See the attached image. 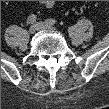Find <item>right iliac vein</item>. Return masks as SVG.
<instances>
[{"mask_svg":"<svg viewBox=\"0 0 109 109\" xmlns=\"http://www.w3.org/2000/svg\"><path fill=\"white\" fill-rule=\"evenodd\" d=\"M37 30H38V27H37L36 25H32V26L29 28V33H30V34H34Z\"/></svg>","mask_w":109,"mask_h":109,"instance_id":"obj_1","label":"right iliac vein"}]
</instances>
